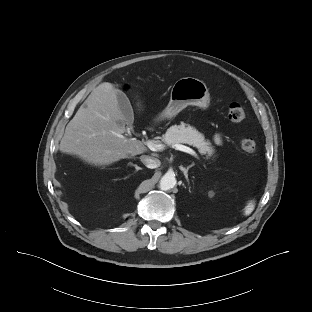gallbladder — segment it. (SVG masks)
Returning <instances> with one entry per match:
<instances>
[{"label": "gallbladder", "instance_id": "gallbladder-1", "mask_svg": "<svg viewBox=\"0 0 312 312\" xmlns=\"http://www.w3.org/2000/svg\"><path fill=\"white\" fill-rule=\"evenodd\" d=\"M117 99L119 103V108L121 112L123 113L125 119L127 120L128 124L130 125V129H132V123H133V109L130 104V101L128 97L123 92L117 93Z\"/></svg>", "mask_w": 312, "mask_h": 312}]
</instances>
